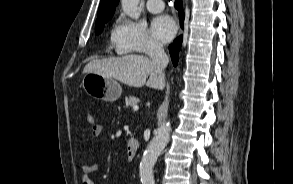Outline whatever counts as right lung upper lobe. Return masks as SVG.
Instances as JSON below:
<instances>
[{
	"instance_id": "cb5924a9",
	"label": "right lung upper lobe",
	"mask_w": 293,
	"mask_h": 184,
	"mask_svg": "<svg viewBox=\"0 0 293 184\" xmlns=\"http://www.w3.org/2000/svg\"><path fill=\"white\" fill-rule=\"evenodd\" d=\"M118 3H119V0H101L100 1V5L98 9V17L96 20L95 27L103 25L111 19V17L114 15V12Z\"/></svg>"
}]
</instances>
